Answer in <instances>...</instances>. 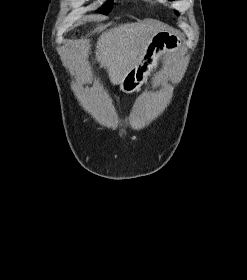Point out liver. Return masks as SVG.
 <instances>
[{
  "label": "liver",
  "instance_id": "liver-1",
  "mask_svg": "<svg viewBox=\"0 0 247 280\" xmlns=\"http://www.w3.org/2000/svg\"><path fill=\"white\" fill-rule=\"evenodd\" d=\"M149 23H126L102 33L97 41L96 60L118 85L141 60L149 38L159 32Z\"/></svg>",
  "mask_w": 247,
  "mask_h": 280
}]
</instances>
